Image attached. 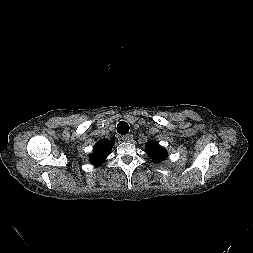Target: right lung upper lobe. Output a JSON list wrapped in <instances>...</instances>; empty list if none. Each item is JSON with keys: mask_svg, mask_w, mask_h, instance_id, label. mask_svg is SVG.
<instances>
[{"mask_svg": "<svg viewBox=\"0 0 253 253\" xmlns=\"http://www.w3.org/2000/svg\"><path fill=\"white\" fill-rule=\"evenodd\" d=\"M114 143L109 140H101L95 146L90 161L92 164L99 166L102 164L110 153Z\"/></svg>", "mask_w": 253, "mask_h": 253, "instance_id": "cb5924a9", "label": "right lung upper lobe"}]
</instances>
